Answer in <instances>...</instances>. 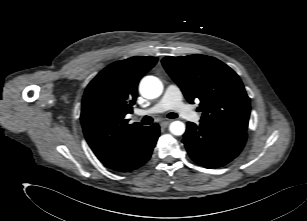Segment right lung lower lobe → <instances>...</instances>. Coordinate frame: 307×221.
Wrapping results in <instances>:
<instances>
[{
  "label": "right lung lower lobe",
  "instance_id": "1",
  "mask_svg": "<svg viewBox=\"0 0 307 221\" xmlns=\"http://www.w3.org/2000/svg\"><path fill=\"white\" fill-rule=\"evenodd\" d=\"M158 124L143 127L125 143L100 161L117 172H130L145 164L159 137Z\"/></svg>",
  "mask_w": 307,
  "mask_h": 221
}]
</instances>
